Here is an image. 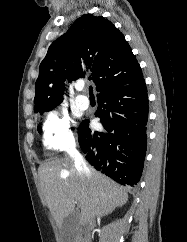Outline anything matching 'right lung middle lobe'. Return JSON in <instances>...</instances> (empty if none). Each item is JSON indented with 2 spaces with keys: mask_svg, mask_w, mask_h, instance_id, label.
I'll use <instances>...</instances> for the list:
<instances>
[{
  "mask_svg": "<svg viewBox=\"0 0 187 242\" xmlns=\"http://www.w3.org/2000/svg\"><path fill=\"white\" fill-rule=\"evenodd\" d=\"M45 112H48V111H45ZM45 112L41 113L40 116L42 117ZM37 130H38V132H41V127L38 126Z\"/></svg>",
  "mask_w": 187,
  "mask_h": 242,
  "instance_id": "1",
  "label": "right lung middle lobe"
}]
</instances>
